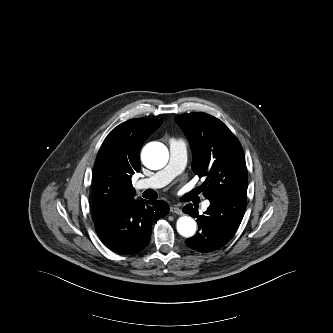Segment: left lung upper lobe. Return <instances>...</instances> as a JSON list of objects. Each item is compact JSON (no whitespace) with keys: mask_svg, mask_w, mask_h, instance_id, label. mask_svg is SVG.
Masks as SVG:
<instances>
[{"mask_svg":"<svg viewBox=\"0 0 333 333\" xmlns=\"http://www.w3.org/2000/svg\"><path fill=\"white\" fill-rule=\"evenodd\" d=\"M192 149V170L205 177L196 189L208 199L221 194H247V168L242 147L219 119L206 113L175 117Z\"/></svg>","mask_w":333,"mask_h":333,"instance_id":"1","label":"left lung upper lobe"}]
</instances>
